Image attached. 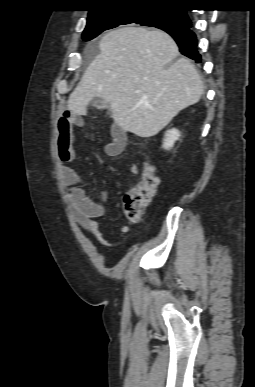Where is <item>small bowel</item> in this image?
I'll return each instance as SVG.
<instances>
[{
	"mask_svg": "<svg viewBox=\"0 0 255 387\" xmlns=\"http://www.w3.org/2000/svg\"><path fill=\"white\" fill-rule=\"evenodd\" d=\"M83 120L78 114L65 112L57 123V149L59 158L63 163L72 161L76 156L74 145V127L81 126ZM111 141L105 145V153L108 156H118L122 154L126 147L127 136L117 125L111 127ZM131 172L138 174L135 163L131 165ZM62 180L64 184V195L68 210L73 218L84 229L92 233L96 239L105 246H112L105 235H114L113 231L105 232L98 219L105 214L106 193L101 191L99 199L93 200L87 194L89 185L87 179L76 169L62 166ZM127 226L120 228V232H126Z\"/></svg>",
	"mask_w": 255,
	"mask_h": 387,
	"instance_id": "1",
	"label": "small bowel"
}]
</instances>
